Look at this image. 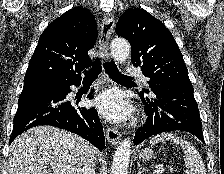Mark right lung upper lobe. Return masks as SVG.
<instances>
[{
  "mask_svg": "<svg viewBox=\"0 0 224 174\" xmlns=\"http://www.w3.org/2000/svg\"><path fill=\"white\" fill-rule=\"evenodd\" d=\"M97 25L86 8H73L48 25L29 61L24 86L71 81L91 60L88 51L95 45Z\"/></svg>",
  "mask_w": 224,
  "mask_h": 174,
  "instance_id": "cb5924a9",
  "label": "right lung upper lobe"
}]
</instances>
